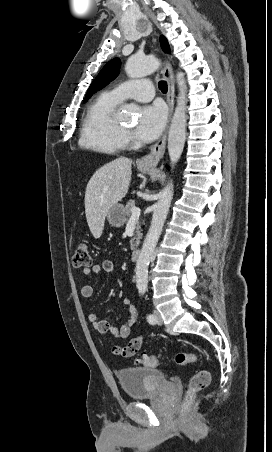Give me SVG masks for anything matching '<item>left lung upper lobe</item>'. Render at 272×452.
Listing matches in <instances>:
<instances>
[{"instance_id": "5c2ea615", "label": "left lung upper lobe", "mask_w": 272, "mask_h": 452, "mask_svg": "<svg viewBox=\"0 0 272 452\" xmlns=\"http://www.w3.org/2000/svg\"><path fill=\"white\" fill-rule=\"evenodd\" d=\"M162 49L166 52H168V42L167 39L164 36H161L160 38ZM121 61L119 58H114L110 60L99 72L97 77L93 80L91 83L87 94L85 96L84 102H86L92 94H94L96 91L102 89L107 84H109L112 80H114L118 74L120 69Z\"/></svg>"}]
</instances>
